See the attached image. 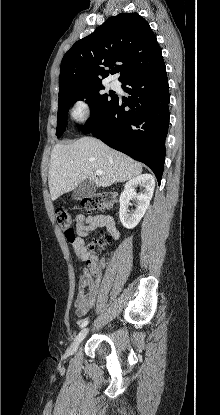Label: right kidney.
<instances>
[{
    "label": "right kidney",
    "instance_id": "right-kidney-1",
    "mask_svg": "<svg viewBox=\"0 0 220 415\" xmlns=\"http://www.w3.org/2000/svg\"><path fill=\"white\" fill-rule=\"evenodd\" d=\"M137 186L144 187V193L136 194L135 188ZM154 188L155 180L150 174L139 175L125 184L124 191L120 196L119 211L120 221L125 228L133 229L140 222L149 206ZM132 198L137 199V207L135 211L130 213L128 207Z\"/></svg>",
    "mask_w": 220,
    "mask_h": 415
}]
</instances>
